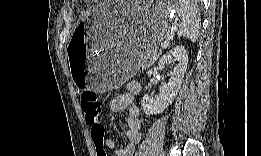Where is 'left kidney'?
<instances>
[{"mask_svg":"<svg viewBox=\"0 0 261 156\" xmlns=\"http://www.w3.org/2000/svg\"><path fill=\"white\" fill-rule=\"evenodd\" d=\"M169 63H174L175 66L169 73L170 78L168 82L160 87L157 97L153 99L151 96L145 95L142 98L141 105L146 115L160 114L173 102L187 69L188 55L186 49L183 46L172 48L160 58L158 69L165 68Z\"/></svg>","mask_w":261,"mask_h":156,"instance_id":"1","label":"left kidney"}]
</instances>
